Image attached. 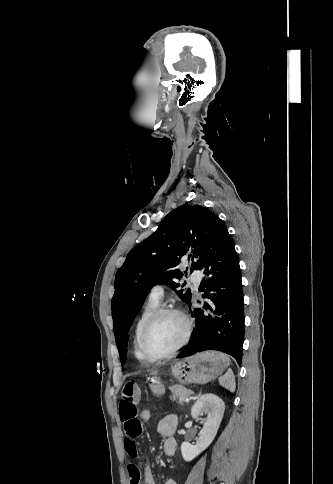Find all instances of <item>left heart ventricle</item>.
Masks as SVG:
<instances>
[{"label": "left heart ventricle", "instance_id": "1", "mask_svg": "<svg viewBox=\"0 0 333 484\" xmlns=\"http://www.w3.org/2000/svg\"><path fill=\"white\" fill-rule=\"evenodd\" d=\"M184 333L185 324L179 316L164 315L151 328L147 339V349L154 356L164 355L180 343Z\"/></svg>", "mask_w": 333, "mask_h": 484}]
</instances>
